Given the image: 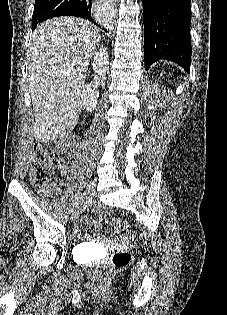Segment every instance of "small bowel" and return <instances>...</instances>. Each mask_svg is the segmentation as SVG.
I'll list each match as a JSON object with an SVG mask.
<instances>
[{
    "label": "small bowel",
    "mask_w": 227,
    "mask_h": 315,
    "mask_svg": "<svg viewBox=\"0 0 227 315\" xmlns=\"http://www.w3.org/2000/svg\"><path fill=\"white\" fill-rule=\"evenodd\" d=\"M59 171H60V173H61L62 175H66V174H68V172H69V167H68L67 165H61V166L59 167ZM49 190H50V189L48 188V189H46V190H39V191L42 192V193H46V192L49 191ZM83 223H85V224L90 223V219H89L88 216H83V217L81 218L80 222L75 225L74 231L77 232V231H78V228H79L80 225L83 224ZM97 226L99 227V224H97Z\"/></svg>",
    "instance_id": "1"
}]
</instances>
